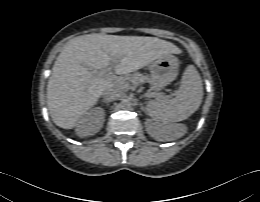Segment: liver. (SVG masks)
Returning a JSON list of instances; mask_svg holds the SVG:
<instances>
[{
    "mask_svg": "<svg viewBox=\"0 0 260 202\" xmlns=\"http://www.w3.org/2000/svg\"><path fill=\"white\" fill-rule=\"evenodd\" d=\"M176 52L173 43L156 37L88 34L72 39L57 57L47 85L52 120L61 128H74L105 90L119 87L122 81L93 71L114 63L117 74H129Z\"/></svg>",
    "mask_w": 260,
    "mask_h": 202,
    "instance_id": "obj_1",
    "label": "liver"
}]
</instances>
